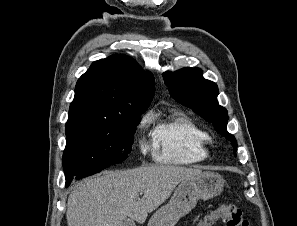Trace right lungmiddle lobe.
Instances as JSON below:
<instances>
[{"label": "right lung middle lobe", "mask_w": 297, "mask_h": 226, "mask_svg": "<svg viewBox=\"0 0 297 226\" xmlns=\"http://www.w3.org/2000/svg\"><path fill=\"white\" fill-rule=\"evenodd\" d=\"M147 107H129L118 122L77 120L66 123L67 143L63 154L65 178L103 170L122 162L131 152L141 114Z\"/></svg>", "instance_id": "right-lung-middle-lobe-1"}]
</instances>
